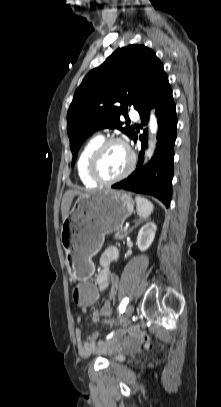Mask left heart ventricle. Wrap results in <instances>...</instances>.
Instances as JSON below:
<instances>
[{"label":"left heart ventricle","mask_w":221,"mask_h":407,"mask_svg":"<svg viewBox=\"0 0 221 407\" xmlns=\"http://www.w3.org/2000/svg\"><path fill=\"white\" fill-rule=\"evenodd\" d=\"M129 154L120 144L109 146L101 155L98 162V172L106 179L120 175L129 164Z\"/></svg>","instance_id":"obj_1"}]
</instances>
